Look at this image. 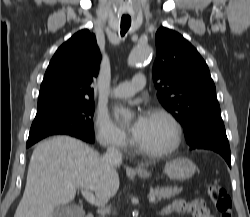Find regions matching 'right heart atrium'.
Listing matches in <instances>:
<instances>
[{"label": "right heart atrium", "mask_w": 250, "mask_h": 217, "mask_svg": "<svg viewBox=\"0 0 250 217\" xmlns=\"http://www.w3.org/2000/svg\"><path fill=\"white\" fill-rule=\"evenodd\" d=\"M96 138L101 145L107 148L125 151L129 147V139L111 118L103 112H99L95 120Z\"/></svg>", "instance_id": "right-heart-atrium-1"}]
</instances>
